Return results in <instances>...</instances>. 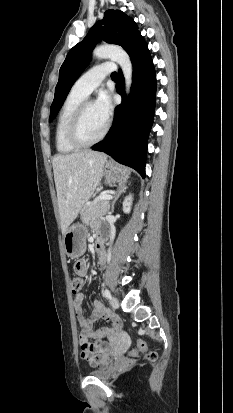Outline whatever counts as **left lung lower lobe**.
I'll return each mask as SVG.
<instances>
[{"mask_svg": "<svg viewBox=\"0 0 233 413\" xmlns=\"http://www.w3.org/2000/svg\"><path fill=\"white\" fill-rule=\"evenodd\" d=\"M128 54L133 62L134 74L127 117H125L124 78L120 71V80L116 88L123 96V103L115 109L114 121L107 137L92 149L102 151L119 163L134 168L144 178L147 139L155 108L156 77L145 41L134 47Z\"/></svg>", "mask_w": 233, "mask_h": 413, "instance_id": "obj_1", "label": "left lung lower lobe"}]
</instances>
